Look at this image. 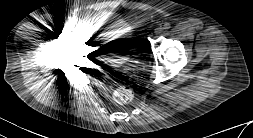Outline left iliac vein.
<instances>
[{"mask_svg":"<svg viewBox=\"0 0 253 138\" xmlns=\"http://www.w3.org/2000/svg\"><path fill=\"white\" fill-rule=\"evenodd\" d=\"M161 33V29H157L156 34H160Z\"/></svg>","mask_w":253,"mask_h":138,"instance_id":"left-iliac-vein-1","label":"left iliac vein"}]
</instances>
